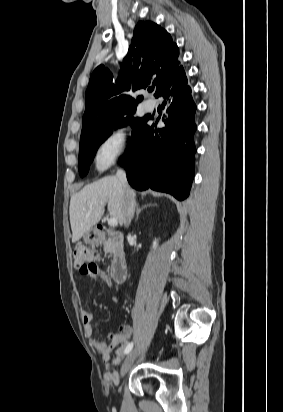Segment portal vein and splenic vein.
Listing matches in <instances>:
<instances>
[{
	"label": "portal vein and splenic vein",
	"instance_id": "18ae733b",
	"mask_svg": "<svg viewBox=\"0 0 283 412\" xmlns=\"http://www.w3.org/2000/svg\"><path fill=\"white\" fill-rule=\"evenodd\" d=\"M108 224L112 227H115L118 225V221L115 218H109L108 219Z\"/></svg>",
	"mask_w": 283,
	"mask_h": 412
}]
</instances>
